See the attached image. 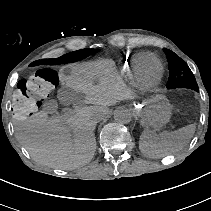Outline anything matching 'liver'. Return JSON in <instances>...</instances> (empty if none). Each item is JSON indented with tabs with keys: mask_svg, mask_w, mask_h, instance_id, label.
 Instances as JSON below:
<instances>
[{
	"mask_svg": "<svg viewBox=\"0 0 211 211\" xmlns=\"http://www.w3.org/2000/svg\"><path fill=\"white\" fill-rule=\"evenodd\" d=\"M90 65H74L69 75H60L77 93L84 94V106L72 112L65 121L48 117L43 111L15 123L16 137L32 157L43 165L57 169H75L91 161L97 147L96 115L101 119L107 106L126 99L129 95L118 81L95 83Z\"/></svg>",
	"mask_w": 211,
	"mask_h": 211,
	"instance_id": "obj_1",
	"label": "liver"
}]
</instances>
